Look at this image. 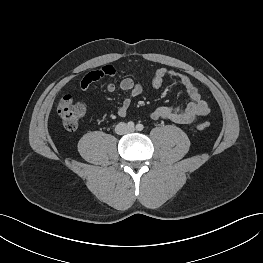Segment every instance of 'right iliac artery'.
Instances as JSON below:
<instances>
[{
  "mask_svg": "<svg viewBox=\"0 0 263 263\" xmlns=\"http://www.w3.org/2000/svg\"><path fill=\"white\" fill-rule=\"evenodd\" d=\"M128 128L133 129L134 128V122L130 121L127 124Z\"/></svg>",
  "mask_w": 263,
  "mask_h": 263,
  "instance_id": "1",
  "label": "right iliac artery"
}]
</instances>
